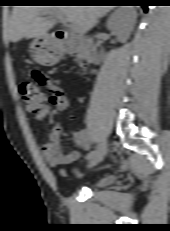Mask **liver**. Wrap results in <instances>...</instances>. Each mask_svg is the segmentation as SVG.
<instances>
[{"mask_svg":"<svg viewBox=\"0 0 170 231\" xmlns=\"http://www.w3.org/2000/svg\"><path fill=\"white\" fill-rule=\"evenodd\" d=\"M113 6H15L5 34L9 41L22 38H38L47 35L55 20L43 15H62L75 26V31L84 35L92 29L98 19L107 14Z\"/></svg>","mask_w":170,"mask_h":231,"instance_id":"1","label":"liver"}]
</instances>
